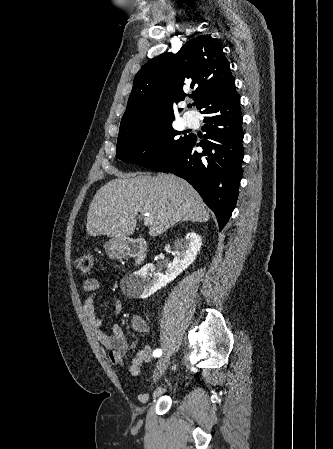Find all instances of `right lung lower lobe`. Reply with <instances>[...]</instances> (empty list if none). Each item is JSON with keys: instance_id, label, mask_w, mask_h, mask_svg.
Returning a JSON list of instances; mask_svg holds the SVG:
<instances>
[{"instance_id": "right-lung-lower-lobe-1", "label": "right lung lower lobe", "mask_w": 333, "mask_h": 449, "mask_svg": "<svg viewBox=\"0 0 333 449\" xmlns=\"http://www.w3.org/2000/svg\"><path fill=\"white\" fill-rule=\"evenodd\" d=\"M206 132L198 142L190 137L153 170L172 172L187 180L217 216L219 229L227 223L237 201L242 175L243 131L237 92L218 98L203 111ZM202 147L201 153L196 147Z\"/></svg>"}]
</instances>
